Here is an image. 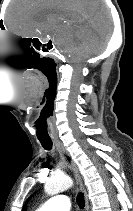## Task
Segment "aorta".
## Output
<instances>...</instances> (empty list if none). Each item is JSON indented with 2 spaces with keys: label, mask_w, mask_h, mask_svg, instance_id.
<instances>
[{
  "label": "aorta",
  "mask_w": 133,
  "mask_h": 211,
  "mask_svg": "<svg viewBox=\"0 0 133 211\" xmlns=\"http://www.w3.org/2000/svg\"><path fill=\"white\" fill-rule=\"evenodd\" d=\"M72 185L73 180L69 176L56 175L47 180L44 185V190L48 195H55L69 189Z\"/></svg>",
  "instance_id": "1"
}]
</instances>
